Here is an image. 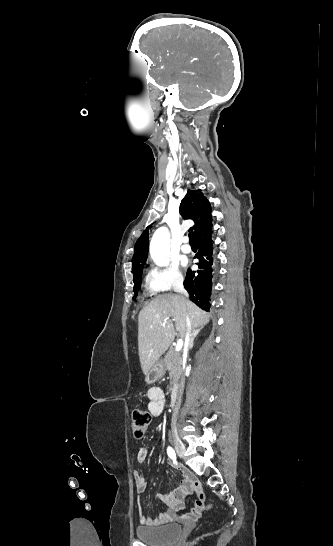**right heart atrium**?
Masks as SVG:
<instances>
[{
    "instance_id": "1",
    "label": "right heart atrium",
    "mask_w": 333,
    "mask_h": 546,
    "mask_svg": "<svg viewBox=\"0 0 333 546\" xmlns=\"http://www.w3.org/2000/svg\"><path fill=\"white\" fill-rule=\"evenodd\" d=\"M146 283L151 294H159L180 289L184 277L176 263H168L153 266L147 274Z\"/></svg>"
}]
</instances>
